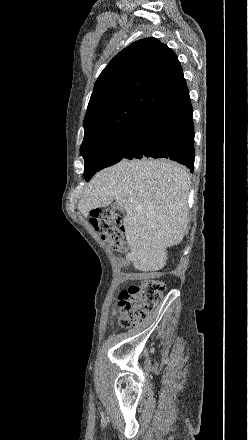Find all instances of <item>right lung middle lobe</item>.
<instances>
[{
	"instance_id": "dd1d6c3e",
	"label": "right lung middle lobe",
	"mask_w": 248,
	"mask_h": 440,
	"mask_svg": "<svg viewBox=\"0 0 248 440\" xmlns=\"http://www.w3.org/2000/svg\"><path fill=\"white\" fill-rule=\"evenodd\" d=\"M129 143L128 129H123L111 133L90 146L81 148L80 152L85 160V180H90L99 170L122 160Z\"/></svg>"
}]
</instances>
